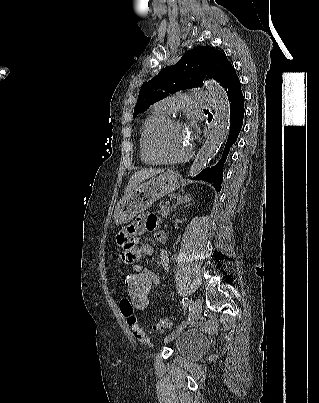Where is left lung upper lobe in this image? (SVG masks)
<instances>
[{
  "mask_svg": "<svg viewBox=\"0 0 319 403\" xmlns=\"http://www.w3.org/2000/svg\"><path fill=\"white\" fill-rule=\"evenodd\" d=\"M230 65L226 55L213 47L200 46L187 51L177 64L162 69L141 88L133 117L169 93L201 87L205 77L220 83Z\"/></svg>",
  "mask_w": 319,
  "mask_h": 403,
  "instance_id": "1",
  "label": "left lung upper lobe"
}]
</instances>
